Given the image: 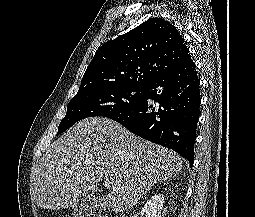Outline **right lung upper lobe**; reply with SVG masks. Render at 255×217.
Wrapping results in <instances>:
<instances>
[{"mask_svg":"<svg viewBox=\"0 0 255 217\" xmlns=\"http://www.w3.org/2000/svg\"><path fill=\"white\" fill-rule=\"evenodd\" d=\"M191 59L174 25L151 18L97 50L78 92L114 86L147 87Z\"/></svg>","mask_w":255,"mask_h":217,"instance_id":"cb5924a9","label":"right lung upper lobe"}]
</instances>
